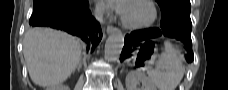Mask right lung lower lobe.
Returning <instances> with one entry per match:
<instances>
[{
  "label": "right lung lower lobe",
  "instance_id": "obj_1",
  "mask_svg": "<svg viewBox=\"0 0 228 90\" xmlns=\"http://www.w3.org/2000/svg\"><path fill=\"white\" fill-rule=\"evenodd\" d=\"M87 0H35L30 26L66 31L94 49L102 38L99 23L91 16Z\"/></svg>",
  "mask_w": 228,
  "mask_h": 90
}]
</instances>
